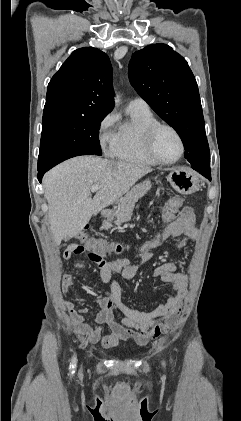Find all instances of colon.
<instances>
[{
  "instance_id": "colon-1",
  "label": "colon",
  "mask_w": 241,
  "mask_h": 421,
  "mask_svg": "<svg viewBox=\"0 0 241 421\" xmlns=\"http://www.w3.org/2000/svg\"><path fill=\"white\" fill-rule=\"evenodd\" d=\"M183 198L176 196L166 202L161 212L162 226L156 233L140 244L137 247L139 252H152L154 249L161 246L165 238V229L170 225L178 216L179 211L183 205ZM79 242L72 243L69 245L73 254L87 253L89 259L102 266L105 264L104 254H118L125 250V248L118 243H108L105 241H95L87 238L85 235L79 236Z\"/></svg>"
}]
</instances>
